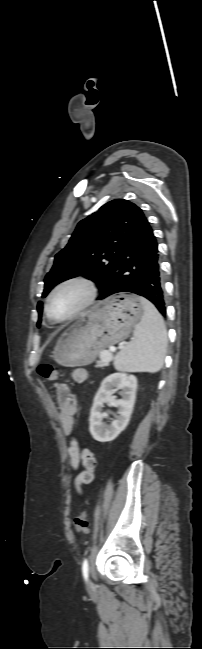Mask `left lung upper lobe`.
<instances>
[{"label": "left lung upper lobe", "instance_id": "left-lung-upper-lobe-1", "mask_svg": "<svg viewBox=\"0 0 202 649\" xmlns=\"http://www.w3.org/2000/svg\"><path fill=\"white\" fill-rule=\"evenodd\" d=\"M143 218L142 210L135 204L115 199L80 221L67 246L55 256L54 265L44 280L42 297L59 282L82 274L96 276L105 289L126 241ZM37 308L39 327L42 302Z\"/></svg>", "mask_w": 202, "mask_h": 649}]
</instances>
